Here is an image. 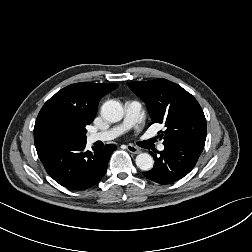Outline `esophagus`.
<instances>
[{
    "label": "esophagus",
    "instance_id": "34e87169",
    "mask_svg": "<svg viewBox=\"0 0 252 252\" xmlns=\"http://www.w3.org/2000/svg\"><path fill=\"white\" fill-rule=\"evenodd\" d=\"M126 148L129 152L133 153V154H139L141 152L140 149H138L136 146L128 144L126 145Z\"/></svg>",
    "mask_w": 252,
    "mask_h": 252
}]
</instances>
